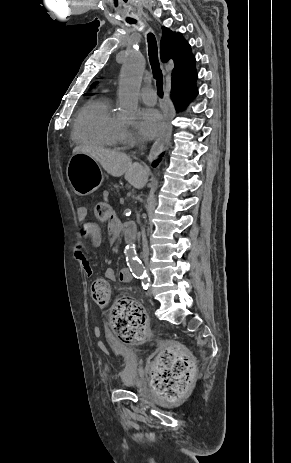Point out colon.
Returning a JSON list of instances; mask_svg holds the SVG:
<instances>
[{
    "instance_id": "1",
    "label": "colon",
    "mask_w": 291,
    "mask_h": 463,
    "mask_svg": "<svg viewBox=\"0 0 291 463\" xmlns=\"http://www.w3.org/2000/svg\"><path fill=\"white\" fill-rule=\"evenodd\" d=\"M93 217L99 222L112 218V205L99 202L93 206ZM111 286L103 278L91 285L92 300L99 306H107L111 301ZM110 322L114 334L127 343L143 341L149 332L147 316L143 308L134 300L118 299L110 311ZM194 373L190 353L178 344L164 346L149 366L151 385L165 400H175L188 391Z\"/></svg>"
}]
</instances>
